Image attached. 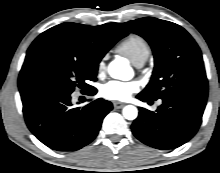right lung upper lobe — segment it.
<instances>
[{
    "label": "right lung upper lobe",
    "instance_id": "obj_1",
    "mask_svg": "<svg viewBox=\"0 0 220 173\" xmlns=\"http://www.w3.org/2000/svg\"><path fill=\"white\" fill-rule=\"evenodd\" d=\"M127 35L128 32L116 23L87 26L67 22L48 29L40 34L27 50L18 79L19 90L33 87L29 70L46 44L52 41L66 40L75 45L83 46L91 57L101 60L117 41Z\"/></svg>",
    "mask_w": 220,
    "mask_h": 173
}]
</instances>
